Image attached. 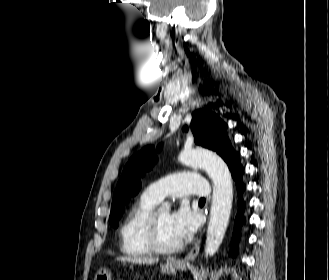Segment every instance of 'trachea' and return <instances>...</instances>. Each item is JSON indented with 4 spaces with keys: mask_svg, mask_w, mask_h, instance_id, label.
Masks as SVG:
<instances>
[{
    "mask_svg": "<svg viewBox=\"0 0 329 280\" xmlns=\"http://www.w3.org/2000/svg\"><path fill=\"white\" fill-rule=\"evenodd\" d=\"M200 202H205V199H204V198H201V199H200Z\"/></svg>",
    "mask_w": 329,
    "mask_h": 280,
    "instance_id": "1",
    "label": "trachea"
}]
</instances>
